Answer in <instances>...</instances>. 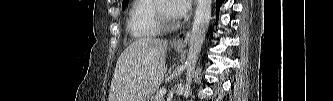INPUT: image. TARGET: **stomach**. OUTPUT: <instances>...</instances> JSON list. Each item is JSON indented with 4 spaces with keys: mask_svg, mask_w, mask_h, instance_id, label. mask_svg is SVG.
I'll list each match as a JSON object with an SVG mask.
<instances>
[{
    "mask_svg": "<svg viewBox=\"0 0 333 101\" xmlns=\"http://www.w3.org/2000/svg\"><path fill=\"white\" fill-rule=\"evenodd\" d=\"M182 49H183L182 47H176L175 46V50L178 51V52L182 51ZM146 101H151V100L147 99Z\"/></svg>",
    "mask_w": 333,
    "mask_h": 101,
    "instance_id": "1",
    "label": "stomach"
}]
</instances>
